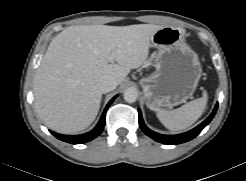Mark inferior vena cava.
Here are the masks:
<instances>
[{
  "mask_svg": "<svg viewBox=\"0 0 246 181\" xmlns=\"http://www.w3.org/2000/svg\"><path fill=\"white\" fill-rule=\"evenodd\" d=\"M117 87L116 80L111 75H103L98 81V88L101 93H107Z\"/></svg>",
  "mask_w": 246,
  "mask_h": 181,
  "instance_id": "602c4592",
  "label": "inferior vena cava"
}]
</instances>
